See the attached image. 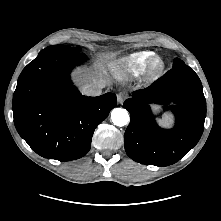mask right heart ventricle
<instances>
[{
  "instance_id": "right-heart-ventricle-1",
  "label": "right heart ventricle",
  "mask_w": 221,
  "mask_h": 221,
  "mask_svg": "<svg viewBox=\"0 0 221 221\" xmlns=\"http://www.w3.org/2000/svg\"><path fill=\"white\" fill-rule=\"evenodd\" d=\"M153 56L151 51L132 52L113 62L111 67L119 75H134L141 72Z\"/></svg>"
}]
</instances>
